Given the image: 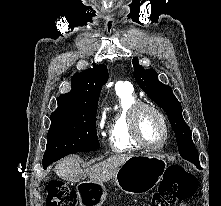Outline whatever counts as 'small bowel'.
I'll list each match as a JSON object with an SVG mask.
<instances>
[{
	"mask_svg": "<svg viewBox=\"0 0 221 206\" xmlns=\"http://www.w3.org/2000/svg\"><path fill=\"white\" fill-rule=\"evenodd\" d=\"M179 206H186L185 204H180Z\"/></svg>",
	"mask_w": 221,
	"mask_h": 206,
	"instance_id": "1",
	"label": "small bowel"
}]
</instances>
